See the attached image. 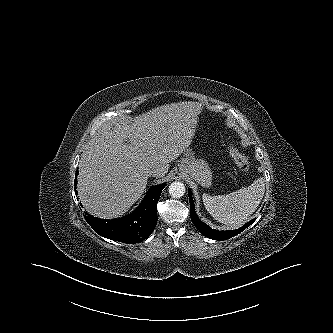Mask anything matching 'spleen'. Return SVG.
<instances>
[{"label":"spleen","mask_w":333,"mask_h":333,"mask_svg":"<svg viewBox=\"0 0 333 333\" xmlns=\"http://www.w3.org/2000/svg\"><path fill=\"white\" fill-rule=\"evenodd\" d=\"M262 177L250 186L227 195L210 196L203 194L206 210L220 223L239 226L246 222L262 201L265 183Z\"/></svg>","instance_id":"obj_1"}]
</instances>
